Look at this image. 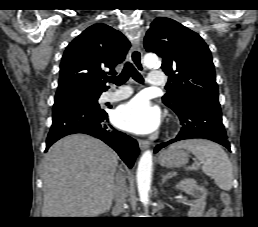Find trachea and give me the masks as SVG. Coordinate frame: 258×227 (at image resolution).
Masks as SVG:
<instances>
[{
    "label": "trachea",
    "mask_w": 258,
    "mask_h": 227,
    "mask_svg": "<svg viewBox=\"0 0 258 227\" xmlns=\"http://www.w3.org/2000/svg\"><path fill=\"white\" fill-rule=\"evenodd\" d=\"M137 54V53H135ZM130 77H132L135 81L143 83L144 79L141 74L136 70V68L130 63L127 62L122 70V72L115 77H109L108 81L111 83L120 86L124 84Z\"/></svg>",
    "instance_id": "trachea-1"
}]
</instances>
